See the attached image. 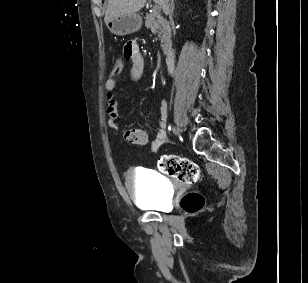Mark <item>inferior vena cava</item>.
Segmentation results:
<instances>
[{"label": "inferior vena cava", "mask_w": 308, "mask_h": 283, "mask_svg": "<svg viewBox=\"0 0 308 283\" xmlns=\"http://www.w3.org/2000/svg\"><path fill=\"white\" fill-rule=\"evenodd\" d=\"M163 10L164 12L169 15V18H168V34L169 35H174L175 34V31H174V20L172 18V15H173V10L171 8V4H169L168 2L166 4L163 5Z\"/></svg>", "instance_id": "obj_1"}]
</instances>
